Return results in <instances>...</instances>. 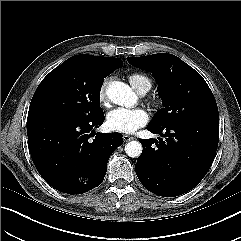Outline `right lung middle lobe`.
I'll use <instances>...</instances> for the list:
<instances>
[{
	"label": "right lung middle lobe",
	"mask_w": 241,
	"mask_h": 241,
	"mask_svg": "<svg viewBox=\"0 0 241 241\" xmlns=\"http://www.w3.org/2000/svg\"><path fill=\"white\" fill-rule=\"evenodd\" d=\"M108 75L84 70L72 58L67 59L37 87L28 120L44 116L91 119L102 114L99 94Z\"/></svg>",
	"instance_id": "dd1d6c3e"
}]
</instances>
